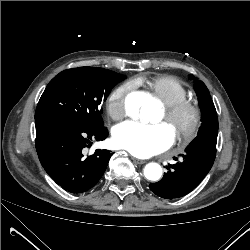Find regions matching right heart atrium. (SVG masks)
<instances>
[{"instance_id":"d8ad5b80","label":"right heart atrium","mask_w":250,"mask_h":250,"mask_svg":"<svg viewBox=\"0 0 250 250\" xmlns=\"http://www.w3.org/2000/svg\"><path fill=\"white\" fill-rule=\"evenodd\" d=\"M128 91L129 87L127 85H120L109 93L105 105L113 119H120L125 115Z\"/></svg>"}]
</instances>
